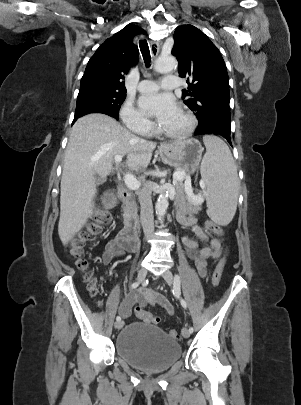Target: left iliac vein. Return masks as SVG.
Segmentation results:
<instances>
[{
	"label": "left iliac vein",
	"mask_w": 301,
	"mask_h": 405,
	"mask_svg": "<svg viewBox=\"0 0 301 405\" xmlns=\"http://www.w3.org/2000/svg\"><path fill=\"white\" fill-rule=\"evenodd\" d=\"M163 278H164L165 281L168 283V285H170V286L173 285L174 277H173V274H172V272H171L170 270H166V271L163 273ZM182 336H183L184 338H188V337L190 336V332H189V330H188L187 328H183V329H182Z\"/></svg>",
	"instance_id": "4c4485c4"
}]
</instances>
